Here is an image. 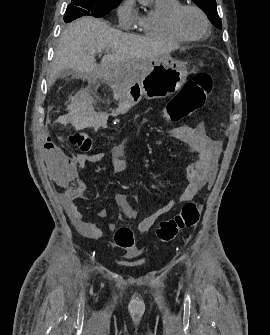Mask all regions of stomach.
<instances>
[{"label": "stomach", "instance_id": "0dacf381", "mask_svg": "<svg viewBox=\"0 0 270 335\" xmlns=\"http://www.w3.org/2000/svg\"><path fill=\"white\" fill-rule=\"evenodd\" d=\"M187 66L188 62L174 60L171 56H157L147 60L138 80L123 78L119 92L129 106H136L142 98H166L178 92L185 84Z\"/></svg>", "mask_w": 270, "mask_h": 335}]
</instances>
